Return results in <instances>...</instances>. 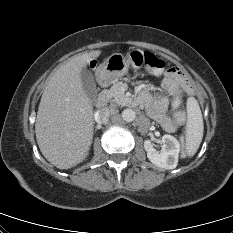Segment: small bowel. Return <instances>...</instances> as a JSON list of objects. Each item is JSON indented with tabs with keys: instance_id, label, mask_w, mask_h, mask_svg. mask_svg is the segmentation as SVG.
Returning a JSON list of instances; mask_svg holds the SVG:
<instances>
[{
	"instance_id": "1",
	"label": "small bowel",
	"mask_w": 233,
	"mask_h": 233,
	"mask_svg": "<svg viewBox=\"0 0 233 233\" xmlns=\"http://www.w3.org/2000/svg\"><path fill=\"white\" fill-rule=\"evenodd\" d=\"M160 88L162 91L174 96L179 95L181 92L187 94L192 93L188 76L183 70L177 67H172L166 71ZM139 98L145 104L148 114L166 130L173 131L183 123L185 118L183 111L176 112L172 118H169L165 114L168 107V100L163 94L159 93L156 97H152L143 87Z\"/></svg>"
}]
</instances>
